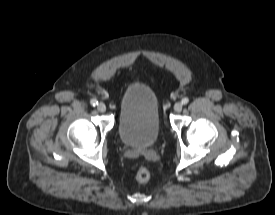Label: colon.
<instances>
[{"label": "colon", "instance_id": "5ec220e1", "mask_svg": "<svg viewBox=\"0 0 275 215\" xmlns=\"http://www.w3.org/2000/svg\"><path fill=\"white\" fill-rule=\"evenodd\" d=\"M136 179L139 182H146L150 179V172L146 167H139L136 171Z\"/></svg>", "mask_w": 275, "mask_h": 215}]
</instances>
